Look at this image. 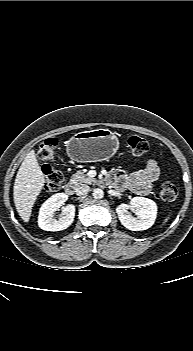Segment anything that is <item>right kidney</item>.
I'll return each mask as SVG.
<instances>
[{"label": "right kidney", "instance_id": "ca27d5eb", "mask_svg": "<svg viewBox=\"0 0 193 351\" xmlns=\"http://www.w3.org/2000/svg\"><path fill=\"white\" fill-rule=\"evenodd\" d=\"M68 199L65 193H57L48 198L41 206L38 216V225L45 231H60L68 228L74 221L75 206L69 204L63 208L62 216L53 218L57 211Z\"/></svg>", "mask_w": 193, "mask_h": 351}]
</instances>
